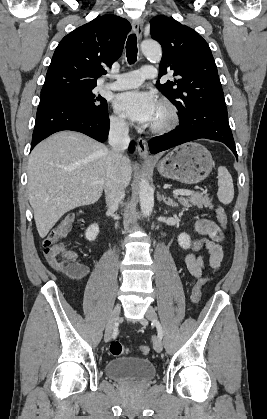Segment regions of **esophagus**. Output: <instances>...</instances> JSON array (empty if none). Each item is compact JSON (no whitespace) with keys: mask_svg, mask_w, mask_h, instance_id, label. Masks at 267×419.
<instances>
[{"mask_svg":"<svg viewBox=\"0 0 267 419\" xmlns=\"http://www.w3.org/2000/svg\"><path fill=\"white\" fill-rule=\"evenodd\" d=\"M132 29L134 33L137 35L138 39H141L142 37V31H143V21L142 19H136L132 21ZM137 151L138 154L145 159H151L152 157L149 155L148 148L146 141L140 137L137 140Z\"/></svg>","mask_w":267,"mask_h":419,"instance_id":"obj_1","label":"esophagus"}]
</instances>
